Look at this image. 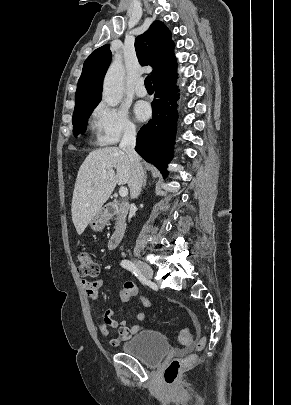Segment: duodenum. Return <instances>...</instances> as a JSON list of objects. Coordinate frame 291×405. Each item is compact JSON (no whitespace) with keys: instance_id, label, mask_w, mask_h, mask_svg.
Instances as JSON below:
<instances>
[{"instance_id":"obj_1","label":"duodenum","mask_w":291,"mask_h":405,"mask_svg":"<svg viewBox=\"0 0 291 405\" xmlns=\"http://www.w3.org/2000/svg\"><path fill=\"white\" fill-rule=\"evenodd\" d=\"M128 209V204L126 202H121L119 204H109L105 207V213L110 215L114 213L116 210L124 212ZM125 233V227L123 224H119L116 230L111 235L108 241V247L110 249L116 248L122 241Z\"/></svg>"}]
</instances>
